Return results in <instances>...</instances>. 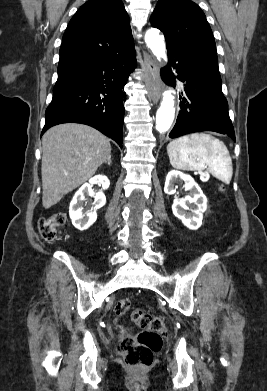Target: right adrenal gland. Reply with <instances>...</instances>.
Here are the masks:
<instances>
[{
	"mask_svg": "<svg viewBox=\"0 0 267 391\" xmlns=\"http://www.w3.org/2000/svg\"><path fill=\"white\" fill-rule=\"evenodd\" d=\"M106 163H107L108 165H110V164H111V158H109V159L106 161Z\"/></svg>",
	"mask_w": 267,
	"mask_h": 391,
	"instance_id": "2a0ac1e0",
	"label": "right adrenal gland"
}]
</instances>
